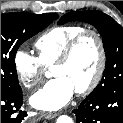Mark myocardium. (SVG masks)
Returning a JSON list of instances; mask_svg holds the SVG:
<instances>
[{"label":"myocardium","instance_id":"1","mask_svg":"<svg viewBox=\"0 0 123 123\" xmlns=\"http://www.w3.org/2000/svg\"><path fill=\"white\" fill-rule=\"evenodd\" d=\"M92 37L98 47V64L96 71L91 78V80L86 84L84 87L75 90L77 94L79 95H85L93 91L97 85L100 83L105 67H106V49H105V43L101 36V34L94 30V29H84L78 34H76L73 38L70 39V41L66 44L61 56L58 58V60L54 63L55 66L64 65L67 64L70 59L72 58L76 48L78 47L79 43L85 38V37Z\"/></svg>","mask_w":123,"mask_h":123}]
</instances>
